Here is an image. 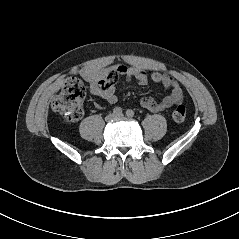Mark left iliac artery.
Listing matches in <instances>:
<instances>
[{"mask_svg": "<svg viewBox=\"0 0 239 239\" xmlns=\"http://www.w3.org/2000/svg\"><path fill=\"white\" fill-rule=\"evenodd\" d=\"M126 115H127L128 117L132 118V117H134L135 113H134L133 110L128 109V110L126 111Z\"/></svg>", "mask_w": 239, "mask_h": 239, "instance_id": "left-iliac-artery-1", "label": "left iliac artery"}]
</instances>
